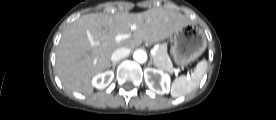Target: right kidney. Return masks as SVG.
Returning <instances> with one entry per match:
<instances>
[{
	"instance_id": "ca27d5eb",
	"label": "right kidney",
	"mask_w": 276,
	"mask_h": 120,
	"mask_svg": "<svg viewBox=\"0 0 276 120\" xmlns=\"http://www.w3.org/2000/svg\"><path fill=\"white\" fill-rule=\"evenodd\" d=\"M113 78H114L113 71H105L93 77L92 85L97 89H104L112 82Z\"/></svg>"
}]
</instances>
